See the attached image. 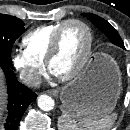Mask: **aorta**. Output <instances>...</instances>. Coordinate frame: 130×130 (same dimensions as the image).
Instances as JSON below:
<instances>
[{
	"label": "aorta",
	"instance_id": "obj_1",
	"mask_svg": "<svg viewBox=\"0 0 130 130\" xmlns=\"http://www.w3.org/2000/svg\"><path fill=\"white\" fill-rule=\"evenodd\" d=\"M38 107L43 111H50L54 108V100L48 95H40L37 99Z\"/></svg>",
	"mask_w": 130,
	"mask_h": 130
}]
</instances>
